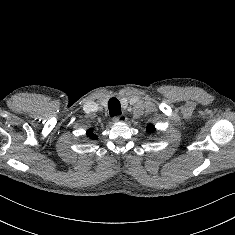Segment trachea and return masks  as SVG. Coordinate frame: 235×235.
I'll return each instance as SVG.
<instances>
[{"mask_svg": "<svg viewBox=\"0 0 235 235\" xmlns=\"http://www.w3.org/2000/svg\"><path fill=\"white\" fill-rule=\"evenodd\" d=\"M108 108L111 116L121 115V105L117 98L113 97L108 101Z\"/></svg>", "mask_w": 235, "mask_h": 235, "instance_id": "3493384b", "label": "trachea"}]
</instances>
